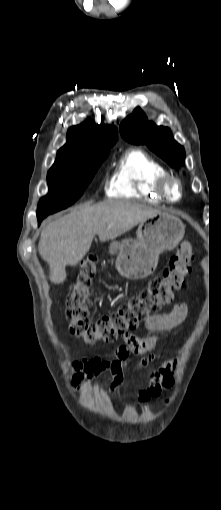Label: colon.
<instances>
[{
	"label": "colon",
	"mask_w": 221,
	"mask_h": 510,
	"mask_svg": "<svg viewBox=\"0 0 221 510\" xmlns=\"http://www.w3.org/2000/svg\"><path fill=\"white\" fill-rule=\"evenodd\" d=\"M194 254L188 241L180 244L161 277L153 279L138 294L121 305L115 312L97 320L89 317L92 306V282L98 271V259L90 256L79 264L75 282L67 299L66 316L70 331L87 344L102 341L111 343L122 334L133 330L148 317L158 313L181 290L191 272Z\"/></svg>",
	"instance_id": "1"
}]
</instances>
